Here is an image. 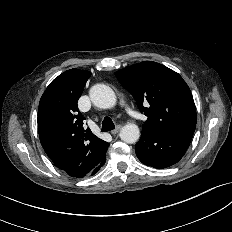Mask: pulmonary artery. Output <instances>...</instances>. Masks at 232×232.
<instances>
[{
  "instance_id": "1",
  "label": "pulmonary artery",
  "mask_w": 232,
  "mask_h": 232,
  "mask_svg": "<svg viewBox=\"0 0 232 232\" xmlns=\"http://www.w3.org/2000/svg\"><path fill=\"white\" fill-rule=\"evenodd\" d=\"M121 104L122 106H124L125 110L129 115L136 117V113H134V111H132V109L124 101H121Z\"/></svg>"
}]
</instances>
